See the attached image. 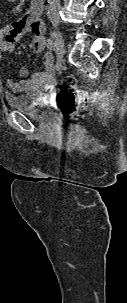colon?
<instances>
[{"label":"colon","instance_id":"1","mask_svg":"<svg viewBox=\"0 0 127 303\" xmlns=\"http://www.w3.org/2000/svg\"><path fill=\"white\" fill-rule=\"evenodd\" d=\"M64 85L70 89H76L72 93L62 94V100L67 108H74L75 104L78 102L80 104L86 103V93L85 91L78 89L76 80L72 76H67L64 79Z\"/></svg>","mask_w":127,"mask_h":303}]
</instances>
